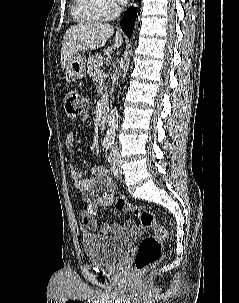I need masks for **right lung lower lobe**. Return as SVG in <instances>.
Here are the masks:
<instances>
[{"label":"right lung lower lobe","instance_id":"1","mask_svg":"<svg viewBox=\"0 0 239 303\" xmlns=\"http://www.w3.org/2000/svg\"><path fill=\"white\" fill-rule=\"evenodd\" d=\"M137 16V8L130 7L121 20V28L126 35L131 37L135 20Z\"/></svg>","mask_w":239,"mask_h":303}]
</instances>
